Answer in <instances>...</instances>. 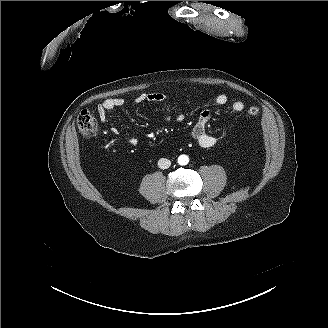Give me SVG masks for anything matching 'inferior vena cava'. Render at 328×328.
I'll return each mask as SVG.
<instances>
[{
    "mask_svg": "<svg viewBox=\"0 0 328 328\" xmlns=\"http://www.w3.org/2000/svg\"><path fill=\"white\" fill-rule=\"evenodd\" d=\"M158 166L162 169H167L171 166V162H170V160H168L166 158H161L158 161Z\"/></svg>",
    "mask_w": 328,
    "mask_h": 328,
    "instance_id": "inferior-vena-cava-1",
    "label": "inferior vena cava"
}]
</instances>
